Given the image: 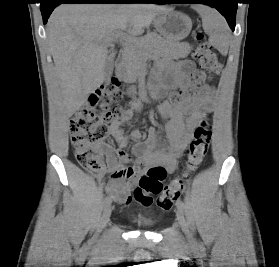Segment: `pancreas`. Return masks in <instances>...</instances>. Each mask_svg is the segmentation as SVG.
I'll use <instances>...</instances> for the list:
<instances>
[{
	"instance_id": "pancreas-1",
	"label": "pancreas",
	"mask_w": 279,
	"mask_h": 267,
	"mask_svg": "<svg viewBox=\"0 0 279 267\" xmlns=\"http://www.w3.org/2000/svg\"><path fill=\"white\" fill-rule=\"evenodd\" d=\"M190 45L165 40L156 33H150L127 44L123 54V67L120 75L127 80L136 78L148 58L162 57L168 60L186 57Z\"/></svg>"
}]
</instances>
